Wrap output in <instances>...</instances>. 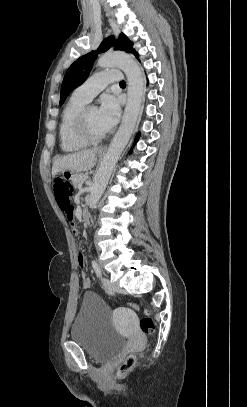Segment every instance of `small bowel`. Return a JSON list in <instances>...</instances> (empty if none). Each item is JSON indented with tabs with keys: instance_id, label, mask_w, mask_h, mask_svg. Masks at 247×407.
I'll use <instances>...</instances> for the list:
<instances>
[{
	"instance_id": "c3829d8e",
	"label": "small bowel",
	"mask_w": 247,
	"mask_h": 407,
	"mask_svg": "<svg viewBox=\"0 0 247 407\" xmlns=\"http://www.w3.org/2000/svg\"><path fill=\"white\" fill-rule=\"evenodd\" d=\"M64 214L66 216V219L68 220L69 224L75 228V209L74 207L71 205V207L64 211ZM77 264L79 267L83 268L84 264H85V256L83 253H79L77 256ZM82 285L84 288H88L91 285V281L90 279L85 275L82 274Z\"/></svg>"
}]
</instances>
